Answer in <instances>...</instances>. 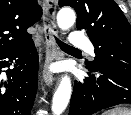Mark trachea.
I'll list each match as a JSON object with an SVG mask.
<instances>
[{
  "mask_svg": "<svg viewBox=\"0 0 131 115\" xmlns=\"http://www.w3.org/2000/svg\"><path fill=\"white\" fill-rule=\"evenodd\" d=\"M55 40H56V42L58 43V45H59V47H60L61 49L79 50V49H77V48H74V47H72V46H69L68 44L60 41V40H59L58 38H56V37H55Z\"/></svg>",
  "mask_w": 131,
  "mask_h": 115,
  "instance_id": "obj_1",
  "label": "trachea"
}]
</instances>
